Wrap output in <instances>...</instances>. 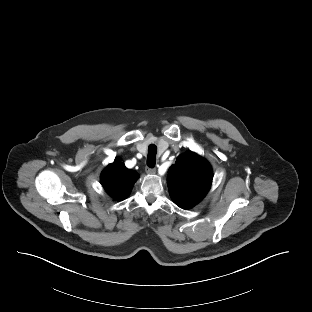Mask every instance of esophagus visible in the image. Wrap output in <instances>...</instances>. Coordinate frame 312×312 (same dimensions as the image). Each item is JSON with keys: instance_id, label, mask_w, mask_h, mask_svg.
Returning a JSON list of instances; mask_svg holds the SVG:
<instances>
[{"instance_id": "34e87169", "label": "esophagus", "mask_w": 312, "mask_h": 312, "mask_svg": "<svg viewBox=\"0 0 312 312\" xmlns=\"http://www.w3.org/2000/svg\"><path fill=\"white\" fill-rule=\"evenodd\" d=\"M145 171L147 174H154L156 172V168L146 167Z\"/></svg>"}]
</instances>
